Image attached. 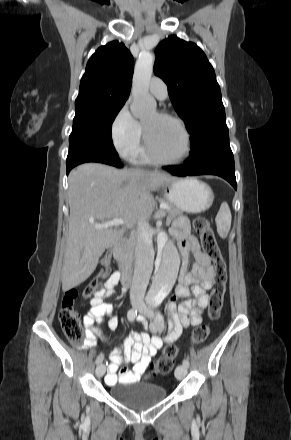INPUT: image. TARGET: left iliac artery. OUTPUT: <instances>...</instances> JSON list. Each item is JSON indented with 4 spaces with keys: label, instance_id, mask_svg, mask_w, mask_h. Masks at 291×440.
Instances as JSON below:
<instances>
[{
    "label": "left iliac artery",
    "instance_id": "left-iliac-artery-1",
    "mask_svg": "<svg viewBox=\"0 0 291 440\" xmlns=\"http://www.w3.org/2000/svg\"><path fill=\"white\" fill-rule=\"evenodd\" d=\"M156 319H157V325L160 326V327H164L163 319H162L161 315L158 312H157ZM183 365L188 368L189 367V360L188 359H184L183 360Z\"/></svg>",
    "mask_w": 291,
    "mask_h": 440
}]
</instances>
